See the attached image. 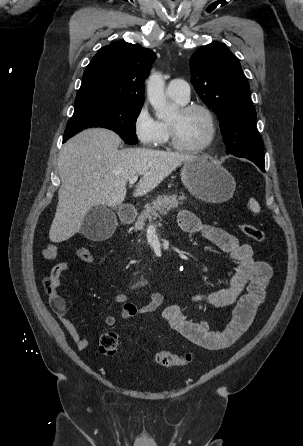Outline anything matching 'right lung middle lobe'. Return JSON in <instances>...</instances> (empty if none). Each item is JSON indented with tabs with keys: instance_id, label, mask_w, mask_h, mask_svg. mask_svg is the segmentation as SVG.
I'll return each instance as SVG.
<instances>
[{
	"instance_id": "obj_1",
	"label": "right lung middle lobe",
	"mask_w": 303,
	"mask_h": 446,
	"mask_svg": "<svg viewBox=\"0 0 303 446\" xmlns=\"http://www.w3.org/2000/svg\"><path fill=\"white\" fill-rule=\"evenodd\" d=\"M142 105L124 103H94L75 107L68 121L63 142L90 127H102L115 131L126 143L136 144L135 122Z\"/></svg>"
}]
</instances>
